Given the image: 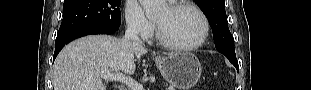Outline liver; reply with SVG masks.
I'll list each match as a JSON object with an SVG mask.
<instances>
[{
	"label": "liver",
	"mask_w": 311,
	"mask_h": 90,
	"mask_svg": "<svg viewBox=\"0 0 311 90\" xmlns=\"http://www.w3.org/2000/svg\"><path fill=\"white\" fill-rule=\"evenodd\" d=\"M148 50L142 45L107 35H92L65 46L54 63V90H106L104 74L132 75L135 61Z\"/></svg>",
	"instance_id": "6515ba94"
}]
</instances>
